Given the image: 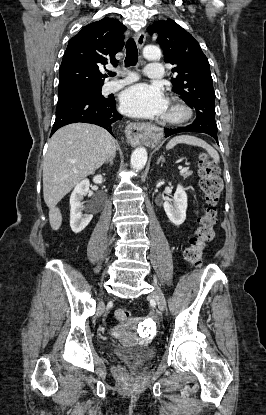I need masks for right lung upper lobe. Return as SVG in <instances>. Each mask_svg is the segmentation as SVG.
Wrapping results in <instances>:
<instances>
[{
    "label": "right lung upper lobe",
    "instance_id": "obj_1",
    "mask_svg": "<svg viewBox=\"0 0 266 415\" xmlns=\"http://www.w3.org/2000/svg\"><path fill=\"white\" fill-rule=\"evenodd\" d=\"M125 26L103 18L82 28L68 43L60 67L58 94L102 87L104 65H117L115 54L124 46Z\"/></svg>",
    "mask_w": 266,
    "mask_h": 415
}]
</instances>
